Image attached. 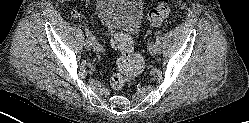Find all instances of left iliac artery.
<instances>
[{
  "mask_svg": "<svg viewBox=\"0 0 249 123\" xmlns=\"http://www.w3.org/2000/svg\"><path fill=\"white\" fill-rule=\"evenodd\" d=\"M161 39H162L161 31H158V33L156 35V43L158 45V53H160V50H161Z\"/></svg>",
  "mask_w": 249,
  "mask_h": 123,
  "instance_id": "1",
  "label": "left iliac artery"
}]
</instances>
